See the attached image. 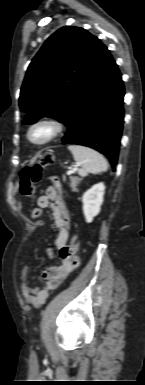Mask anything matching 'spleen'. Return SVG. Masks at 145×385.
Instances as JSON below:
<instances>
[{"mask_svg":"<svg viewBox=\"0 0 145 385\" xmlns=\"http://www.w3.org/2000/svg\"><path fill=\"white\" fill-rule=\"evenodd\" d=\"M68 149L73 154L74 160L81 166L78 169L80 176L107 171L108 163L99 152L81 145H69Z\"/></svg>","mask_w":145,"mask_h":385,"instance_id":"obj_1","label":"spleen"}]
</instances>
